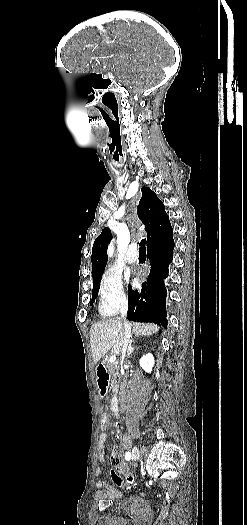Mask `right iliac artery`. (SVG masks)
<instances>
[{
  "instance_id": "right-iliac-artery-1",
  "label": "right iliac artery",
  "mask_w": 247,
  "mask_h": 525,
  "mask_svg": "<svg viewBox=\"0 0 247 525\" xmlns=\"http://www.w3.org/2000/svg\"><path fill=\"white\" fill-rule=\"evenodd\" d=\"M125 459L127 461H129L131 459V453L130 452H127L126 455H125Z\"/></svg>"
}]
</instances>
